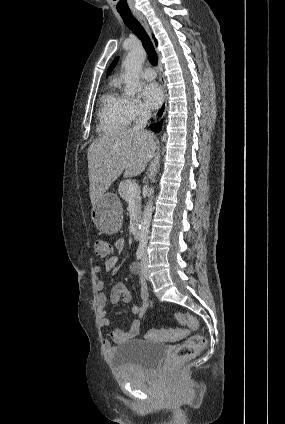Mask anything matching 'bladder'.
Wrapping results in <instances>:
<instances>
[{
	"label": "bladder",
	"instance_id": "bladder-1",
	"mask_svg": "<svg viewBox=\"0 0 285 424\" xmlns=\"http://www.w3.org/2000/svg\"><path fill=\"white\" fill-rule=\"evenodd\" d=\"M167 345L144 339L128 340L119 344L110 360L112 366L130 372L153 371L167 352Z\"/></svg>",
	"mask_w": 285,
	"mask_h": 424
}]
</instances>
